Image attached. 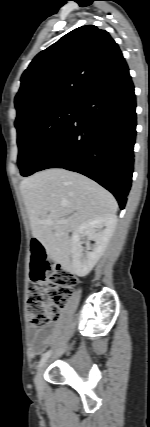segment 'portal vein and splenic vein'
Here are the masks:
<instances>
[{
	"instance_id": "18ae733b",
	"label": "portal vein and splenic vein",
	"mask_w": 150,
	"mask_h": 427,
	"mask_svg": "<svg viewBox=\"0 0 150 427\" xmlns=\"http://www.w3.org/2000/svg\"><path fill=\"white\" fill-rule=\"evenodd\" d=\"M43 223L50 225V226L53 225V221L51 219L44 220ZM63 223H65V221H59L58 222V224H63Z\"/></svg>"
}]
</instances>
